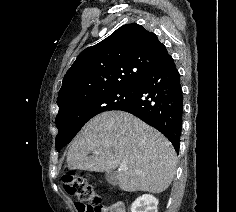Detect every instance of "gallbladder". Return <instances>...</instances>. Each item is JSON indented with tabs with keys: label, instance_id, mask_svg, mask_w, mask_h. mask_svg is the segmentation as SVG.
Instances as JSON below:
<instances>
[{
	"label": "gallbladder",
	"instance_id": "gallbladder-1",
	"mask_svg": "<svg viewBox=\"0 0 236 212\" xmlns=\"http://www.w3.org/2000/svg\"><path fill=\"white\" fill-rule=\"evenodd\" d=\"M106 180L108 181V183H110L111 185H117L118 183V179H117V175L115 172L110 171L106 173Z\"/></svg>",
	"mask_w": 236,
	"mask_h": 212
}]
</instances>
